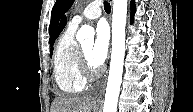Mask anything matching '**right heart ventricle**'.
<instances>
[{
    "label": "right heart ventricle",
    "instance_id": "e07e8e85",
    "mask_svg": "<svg viewBox=\"0 0 193 112\" xmlns=\"http://www.w3.org/2000/svg\"><path fill=\"white\" fill-rule=\"evenodd\" d=\"M76 28L68 25L54 50V76L59 89L65 94H77L84 90L87 81L78 67V43Z\"/></svg>",
    "mask_w": 193,
    "mask_h": 112
}]
</instances>
